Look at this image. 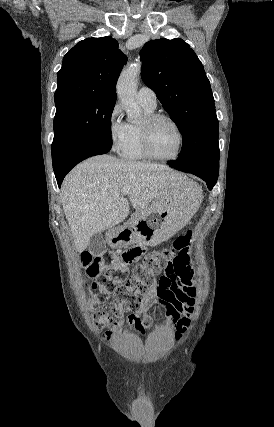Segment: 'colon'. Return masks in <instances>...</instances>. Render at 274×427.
<instances>
[{
	"label": "colon",
	"mask_w": 274,
	"mask_h": 427,
	"mask_svg": "<svg viewBox=\"0 0 274 427\" xmlns=\"http://www.w3.org/2000/svg\"><path fill=\"white\" fill-rule=\"evenodd\" d=\"M147 247L144 244H137L128 251L106 252L101 256H89L87 251L78 253V260L82 267H86L90 262L96 265L104 264V274L94 285L96 293L95 302L102 304V310L95 311L92 320L96 326H102V323L108 318L113 319L119 316L117 311L124 307L128 311H133L137 307L138 297L144 294L148 284L154 276L165 272L167 268V258L175 254L174 250L168 247L151 254H147ZM143 258L142 264L136 266L128 278H124L127 263H135L139 258ZM77 291L86 289L84 280L75 282ZM109 294L115 296V300L105 303Z\"/></svg>",
	"instance_id": "colon-1"
}]
</instances>
